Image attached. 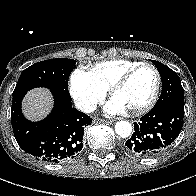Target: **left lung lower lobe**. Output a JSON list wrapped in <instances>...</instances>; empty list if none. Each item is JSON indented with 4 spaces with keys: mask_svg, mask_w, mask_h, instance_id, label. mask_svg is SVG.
<instances>
[{
    "mask_svg": "<svg viewBox=\"0 0 196 196\" xmlns=\"http://www.w3.org/2000/svg\"><path fill=\"white\" fill-rule=\"evenodd\" d=\"M184 122V106L165 104L153 107L139 123L125 143L126 152L150 157L167 148L179 135Z\"/></svg>",
    "mask_w": 196,
    "mask_h": 196,
    "instance_id": "1",
    "label": "left lung lower lobe"
}]
</instances>
